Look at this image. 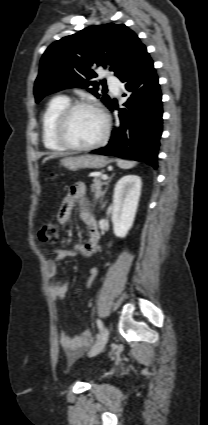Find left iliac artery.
<instances>
[{"instance_id": "obj_1", "label": "left iliac artery", "mask_w": 208, "mask_h": 425, "mask_svg": "<svg viewBox=\"0 0 208 425\" xmlns=\"http://www.w3.org/2000/svg\"><path fill=\"white\" fill-rule=\"evenodd\" d=\"M97 326H98L100 331L103 330V324H102L101 320H99V319H97Z\"/></svg>"}]
</instances>
